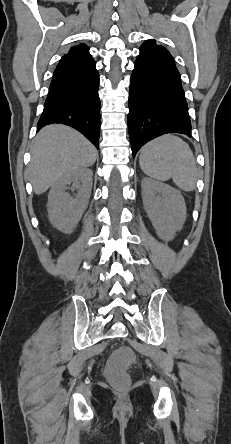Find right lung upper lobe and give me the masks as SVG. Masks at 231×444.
Wrapping results in <instances>:
<instances>
[{
    "mask_svg": "<svg viewBox=\"0 0 231 444\" xmlns=\"http://www.w3.org/2000/svg\"><path fill=\"white\" fill-rule=\"evenodd\" d=\"M95 65V61L89 54V47L80 44L72 47L68 54H65L57 65L54 76H65L87 70Z\"/></svg>",
    "mask_w": 231,
    "mask_h": 444,
    "instance_id": "obj_1",
    "label": "right lung upper lobe"
}]
</instances>
